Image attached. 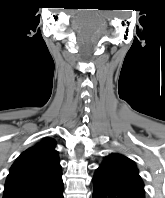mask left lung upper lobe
<instances>
[{
  "label": "left lung upper lobe",
  "instance_id": "left-lung-upper-lobe-1",
  "mask_svg": "<svg viewBox=\"0 0 165 198\" xmlns=\"http://www.w3.org/2000/svg\"><path fill=\"white\" fill-rule=\"evenodd\" d=\"M97 171L126 188L144 194V185L138 170L134 162L126 156L117 153L106 156Z\"/></svg>",
  "mask_w": 165,
  "mask_h": 198
}]
</instances>
